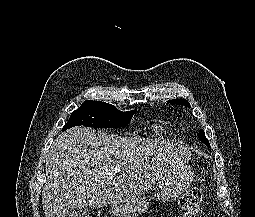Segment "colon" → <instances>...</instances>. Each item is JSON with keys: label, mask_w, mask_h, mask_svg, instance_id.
I'll return each mask as SVG.
<instances>
[{"label": "colon", "mask_w": 255, "mask_h": 217, "mask_svg": "<svg viewBox=\"0 0 255 217\" xmlns=\"http://www.w3.org/2000/svg\"><path fill=\"white\" fill-rule=\"evenodd\" d=\"M180 206L184 211L182 217H203L200 189L191 188L186 191L180 199Z\"/></svg>", "instance_id": "colon-1"}]
</instances>
